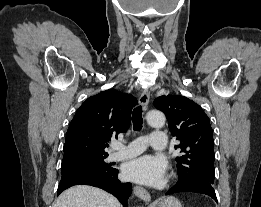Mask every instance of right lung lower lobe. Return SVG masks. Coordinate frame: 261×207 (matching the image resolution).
<instances>
[{
	"instance_id": "98d812e1",
	"label": "right lung lower lobe",
	"mask_w": 261,
	"mask_h": 207,
	"mask_svg": "<svg viewBox=\"0 0 261 207\" xmlns=\"http://www.w3.org/2000/svg\"><path fill=\"white\" fill-rule=\"evenodd\" d=\"M117 176L118 170L112 165L106 169L80 170L62 174L57 195L73 185H91L113 194L124 207H128L127 200L131 195L132 185L121 182Z\"/></svg>"
}]
</instances>
